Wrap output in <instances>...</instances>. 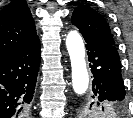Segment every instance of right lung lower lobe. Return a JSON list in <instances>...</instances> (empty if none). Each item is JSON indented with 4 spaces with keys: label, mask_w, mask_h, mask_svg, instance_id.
I'll use <instances>...</instances> for the list:
<instances>
[{
    "label": "right lung lower lobe",
    "mask_w": 133,
    "mask_h": 118,
    "mask_svg": "<svg viewBox=\"0 0 133 118\" xmlns=\"http://www.w3.org/2000/svg\"><path fill=\"white\" fill-rule=\"evenodd\" d=\"M39 65V39L0 59V118L25 117Z\"/></svg>",
    "instance_id": "1"
}]
</instances>
